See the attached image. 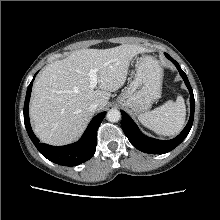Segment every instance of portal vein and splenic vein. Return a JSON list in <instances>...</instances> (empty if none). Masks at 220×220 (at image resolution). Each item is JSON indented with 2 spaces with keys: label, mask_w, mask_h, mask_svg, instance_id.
I'll use <instances>...</instances> for the list:
<instances>
[{
  "label": "portal vein and splenic vein",
  "mask_w": 220,
  "mask_h": 220,
  "mask_svg": "<svg viewBox=\"0 0 220 220\" xmlns=\"http://www.w3.org/2000/svg\"><path fill=\"white\" fill-rule=\"evenodd\" d=\"M99 69L98 68H93L90 69L88 75L90 77V88L94 89L96 87V85L98 84V78H97V73H98Z\"/></svg>",
  "instance_id": "obj_1"
}]
</instances>
